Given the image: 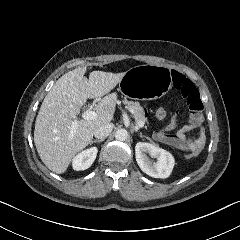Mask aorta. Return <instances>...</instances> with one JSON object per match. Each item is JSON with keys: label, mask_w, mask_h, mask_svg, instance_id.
<instances>
[{"label": "aorta", "mask_w": 240, "mask_h": 240, "mask_svg": "<svg viewBox=\"0 0 240 240\" xmlns=\"http://www.w3.org/2000/svg\"><path fill=\"white\" fill-rule=\"evenodd\" d=\"M115 138L116 140L118 141H125L127 138H128V132L126 129H118L116 132H115Z\"/></svg>", "instance_id": "aorta-1"}]
</instances>
